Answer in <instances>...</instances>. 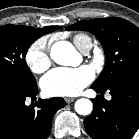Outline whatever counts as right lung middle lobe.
Instances as JSON below:
<instances>
[{
    "instance_id": "dd1d6c3e",
    "label": "right lung middle lobe",
    "mask_w": 139,
    "mask_h": 139,
    "mask_svg": "<svg viewBox=\"0 0 139 139\" xmlns=\"http://www.w3.org/2000/svg\"><path fill=\"white\" fill-rule=\"evenodd\" d=\"M41 36L28 26L0 27V82L24 89L37 86L25 56L30 45Z\"/></svg>"
}]
</instances>
